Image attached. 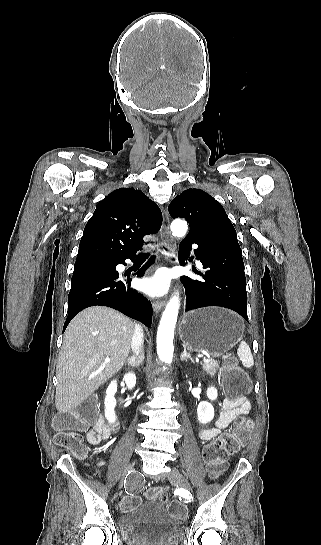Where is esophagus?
I'll return each instance as SVG.
<instances>
[{
    "mask_svg": "<svg viewBox=\"0 0 321 545\" xmlns=\"http://www.w3.org/2000/svg\"><path fill=\"white\" fill-rule=\"evenodd\" d=\"M160 236L164 244L170 246L172 249L175 247L174 238L169 230L168 225V211L164 210V221L160 230ZM165 300L156 301L153 303V309L156 313H159L162 308L165 306Z\"/></svg>",
    "mask_w": 321,
    "mask_h": 545,
    "instance_id": "34e87169",
    "label": "esophagus"
}]
</instances>
